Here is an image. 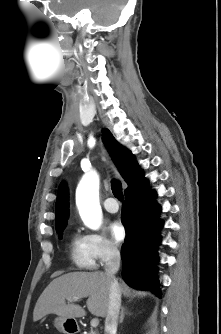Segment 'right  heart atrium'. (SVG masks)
I'll use <instances>...</instances> for the list:
<instances>
[{"label": "right heart atrium", "mask_w": 221, "mask_h": 334, "mask_svg": "<svg viewBox=\"0 0 221 334\" xmlns=\"http://www.w3.org/2000/svg\"><path fill=\"white\" fill-rule=\"evenodd\" d=\"M87 239L94 259L99 264H105L119 254L117 245L102 233H90L87 235Z\"/></svg>", "instance_id": "obj_1"}]
</instances>
